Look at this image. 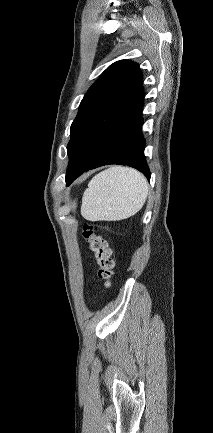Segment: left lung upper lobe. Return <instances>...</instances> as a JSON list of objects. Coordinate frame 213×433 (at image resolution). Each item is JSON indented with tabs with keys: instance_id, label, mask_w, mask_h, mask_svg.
I'll list each match as a JSON object with an SVG mask.
<instances>
[{
	"instance_id": "1",
	"label": "left lung upper lobe",
	"mask_w": 213,
	"mask_h": 433,
	"mask_svg": "<svg viewBox=\"0 0 213 433\" xmlns=\"http://www.w3.org/2000/svg\"><path fill=\"white\" fill-rule=\"evenodd\" d=\"M142 78L137 63L120 60L86 92L70 128L66 183L95 156L115 124L141 95Z\"/></svg>"
}]
</instances>
